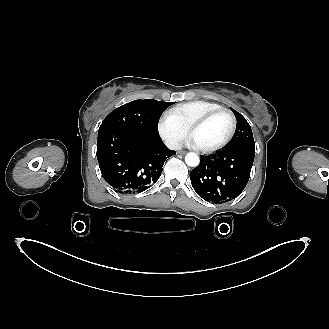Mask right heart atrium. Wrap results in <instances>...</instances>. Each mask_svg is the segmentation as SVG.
<instances>
[{
    "instance_id": "1",
    "label": "right heart atrium",
    "mask_w": 329,
    "mask_h": 329,
    "mask_svg": "<svg viewBox=\"0 0 329 329\" xmlns=\"http://www.w3.org/2000/svg\"><path fill=\"white\" fill-rule=\"evenodd\" d=\"M157 129L161 138L172 149L179 148L187 135V129L169 112L160 117Z\"/></svg>"
}]
</instances>
